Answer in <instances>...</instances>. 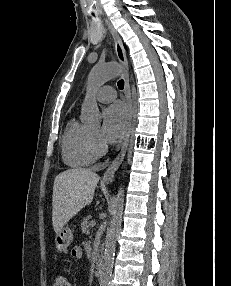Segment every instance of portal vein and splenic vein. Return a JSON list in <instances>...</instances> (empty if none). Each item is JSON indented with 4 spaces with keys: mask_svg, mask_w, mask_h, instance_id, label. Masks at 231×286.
Here are the masks:
<instances>
[{
    "mask_svg": "<svg viewBox=\"0 0 231 286\" xmlns=\"http://www.w3.org/2000/svg\"><path fill=\"white\" fill-rule=\"evenodd\" d=\"M91 227H94L96 225V222L95 220H92L91 223H90Z\"/></svg>",
    "mask_w": 231,
    "mask_h": 286,
    "instance_id": "1",
    "label": "portal vein and splenic vein"
}]
</instances>
